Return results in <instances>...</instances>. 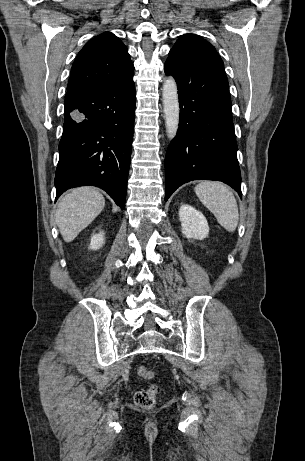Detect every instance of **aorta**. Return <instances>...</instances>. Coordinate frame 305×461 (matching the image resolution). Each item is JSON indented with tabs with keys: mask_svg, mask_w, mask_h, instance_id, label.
<instances>
[{
	"mask_svg": "<svg viewBox=\"0 0 305 461\" xmlns=\"http://www.w3.org/2000/svg\"><path fill=\"white\" fill-rule=\"evenodd\" d=\"M162 99L164 108L165 126L168 138L172 140L179 126V100L177 84L173 77H167L163 84Z\"/></svg>",
	"mask_w": 305,
	"mask_h": 461,
	"instance_id": "aorta-1",
	"label": "aorta"
}]
</instances>
